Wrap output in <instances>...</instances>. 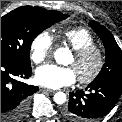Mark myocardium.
Wrapping results in <instances>:
<instances>
[{
  "instance_id": "1",
  "label": "myocardium",
  "mask_w": 122,
  "mask_h": 122,
  "mask_svg": "<svg viewBox=\"0 0 122 122\" xmlns=\"http://www.w3.org/2000/svg\"><path fill=\"white\" fill-rule=\"evenodd\" d=\"M91 56L96 60L95 67L92 72L85 76H77L79 83L83 85L92 83L101 74L105 64V54L104 51L96 45L87 46L74 51V58L77 63H80Z\"/></svg>"
}]
</instances>
